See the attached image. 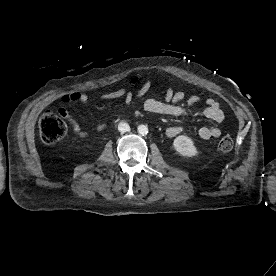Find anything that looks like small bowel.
Listing matches in <instances>:
<instances>
[{"label": "small bowel", "mask_w": 276, "mask_h": 276, "mask_svg": "<svg viewBox=\"0 0 276 276\" xmlns=\"http://www.w3.org/2000/svg\"><path fill=\"white\" fill-rule=\"evenodd\" d=\"M151 87V82L147 80L142 88L134 95L130 90L123 87L115 91L106 92L101 95L102 99L110 100L119 97H124L125 105H130L135 99L141 98L147 94ZM185 94L183 91L174 92L171 87H168L164 99H158L156 97H147L144 101V109L153 114H162L169 116H182L188 113L191 106L199 102L200 97L194 95L184 102ZM88 96L82 92H71L64 94L60 97L62 104L66 105L69 103H86L88 102ZM61 114L69 123L72 131L80 137H85L86 132L82 130L80 124L75 118L65 109H60ZM199 115L214 121L217 124H221L225 120V114L221 110L218 102L212 98H209L205 102V107L198 112ZM102 126H98L101 129ZM188 130L186 126H172L169 127L165 134L168 138L175 137L176 135ZM196 134L204 139L208 140L211 138H217L221 135V129L219 126L206 127L201 126L194 128Z\"/></svg>", "instance_id": "c3829d8e"}]
</instances>
